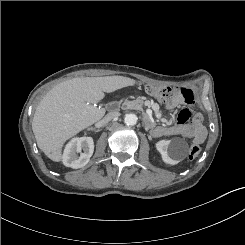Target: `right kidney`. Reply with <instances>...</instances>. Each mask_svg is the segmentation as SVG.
<instances>
[{
    "label": "right kidney",
    "instance_id": "1",
    "mask_svg": "<svg viewBox=\"0 0 245 245\" xmlns=\"http://www.w3.org/2000/svg\"><path fill=\"white\" fill-rule=\"evenodd\" d=\"M94 152V142L91 137L73 138L67 145L62 156L65 166L81 168L85 166Z\"/></svg>",
    "mask_w": 245,
    "mask_h": 245
}]
</instances>
